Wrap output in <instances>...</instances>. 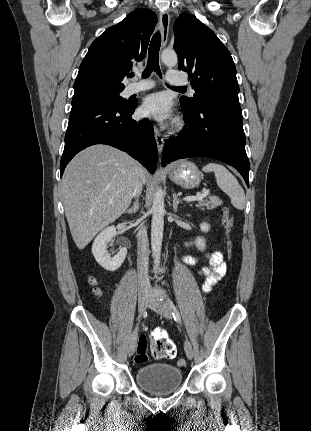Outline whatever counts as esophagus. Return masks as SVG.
<instances>
[{
    "instance_id": "34e87169",
    "label": "esophagus",
    "mask_w": 311,
    "mask_h": 431,
    "mask_svg": "<svg viewBox=\"0 0 311 431\" xmlns=\"http://www.w3.org/2000/svg\"><path fill=\"white\" fill-rule=\"evenodd\" d=\"M159 18H160V27H161V43H162V47H165V45L167 44L168 34H169V24H170L169 13L166 10H164L160 12ZM154 136L157 143L158 153H161L163 150L165 139L161 134V132L159 131V129L157 128V126H154Z\"/></svg>"
}]
</instances>
